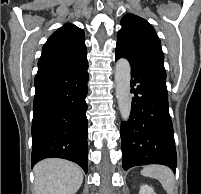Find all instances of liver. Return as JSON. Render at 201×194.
<instances>
[{"label":"liver","mask_w":201,"mask_h":194,"mask_svg":"<svg viewBox=\"0 0 201 194\" xmlns=\"http://www.w3.org/2000/svg\"><path fill=\"white\" fill-rule=\"evenodd\" d=\"M34 194H75L83 182L81 168L63 159H45L34 167Z\"/></svg>","instance_id":"liver-1"}]
</instances>
